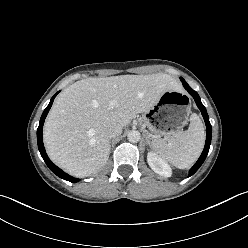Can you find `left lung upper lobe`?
<instances>
[{
  "instance_id": "5c2ea615",
  "label": "left lung upper lobe",
  "mask_w": 248,
  "mask_h": 248,
  "mask_svg": "<svg viewBox=\"0 0 248 248\" xmlns=\"http://www.w3.org/2000/svg\"><path fill=\"white\" fill-rule=\"evenodd\" d=\"M181 81H185L183 78H181Z\"/></svg>"
}]
</instances>
